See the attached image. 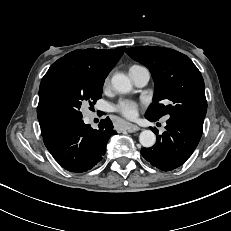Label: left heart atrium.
Listing matches in <instances>:
<instances>
[{
    "mask_svg": "<svg viewBox=\"0 0 231 231\" xmlns=\"http://www.w3.org/2000/svg\"><path fill=\"white\" fill-rule=\"evenodd\" d=\"M115 110L124 117L132 119L137 115L138 105L131 100H121L115 106Z\"/></svg>",
    "mask_w": 231,
    "mask_h": 231,
    "instance_id": "obj_1",
    "label": "left heart atrium"
}]
</instances>
